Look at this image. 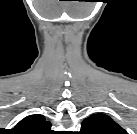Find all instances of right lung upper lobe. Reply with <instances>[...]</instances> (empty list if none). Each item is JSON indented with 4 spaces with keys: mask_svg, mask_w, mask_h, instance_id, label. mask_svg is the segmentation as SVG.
<instances>
[{
    "mask_svg": "<svg viewBox=\"0 0 137 134\" xmlns=\"http://www.w3.org/2000/svg\"><path fill=\"white\" fill-rule=\"evenodd\" d=\"M13 131L17 134H52L51 123L43 115H29L20 121Z\"/></svg>",
    "mask_w": 137,
    "mask_h": 134,
    "instance_id": "1",
    "label": "right lung upper lobe"
}]
</instances>
